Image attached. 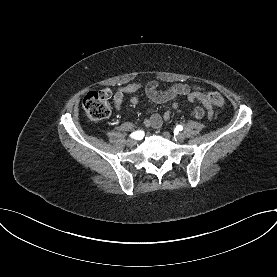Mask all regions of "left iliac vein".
Instances as JSON below:
<instances>
[{
	"label": "left iliac vein",
	"mask_w": 277,
	"mask_h": 277,
	"mask_svg": "<svg viewBox=\"0 0 277 277\" xmlns=\"http://www.w3.org/2000/svg\"><path fill=\"white\" fill-rule=\"evenodd\" d=\"M164 136H168V134L167 133H164ZM176 140H178V141H183L184 139H185V135L184 134H182V133H179V134H177L176 135Z\"/></svg>",
	"instance_id": "1"
}]
</instances>
